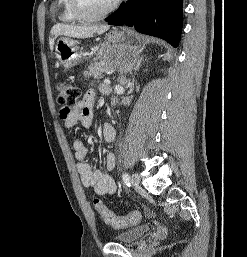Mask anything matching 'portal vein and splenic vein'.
<instances>
[{
	"mask_svg": "<svg viewBox=\"0 0 247 257\" xmlns=\"http://www.w3.org/2000/svg\"><path fill=\"white\" fill-rule=\"evenodd\" d=\"M106 74L110 75V74H112V71L108 70V71H106Z\"/></svg>",
	"mask_w": 247,
	"mask_h": 257,
	"instance_id": "portal-vein-and-splenic-vein-1",
	"label": "portal vein and splenic vein"
}]
</instances>
